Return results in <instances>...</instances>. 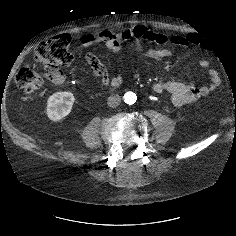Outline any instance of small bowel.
I'll return each instance as SVG.
<instances>
[{"label":"small bowel","mask_w":236,"mask_h":236,"mask_svg":"<svg viewBox=\"0 0 236 236\" xmlns=\"http://www.w3.org/2000/svg\"><path fill=\"white\" fill-rule=\"evenodd\" d=\"M130 39L157 44L159 48L148 50L147 52L149 57L156 60H162L172 54V50L168 46L188 47L202 43L201 36L196 33L187 35H167L157 33L145 26H137L134 28L124 27L117 32L103 30L98 35L86 33L79 38V43L82 46L100 43L105 45L107 49L112 52H119L121 50V43ZM86 61L93 73L101 78L104 83L111 82L114 85H118L121 82L122 78L120 75H116L112 79L109 78L105 66L94 54L88 53L86 55ZM209 65V62L205 59L199 61V66L201 68H208ZM209 78L210 82L207 85L187 84L178 81H159L153 83L151 89L157 93L166 92L171 94L172 103L175 106L180 107L195 102L215 91L221 82L220 75L216 70H210ZM63 81L64 78L61 74L52 80L56 85L61 84Z\"/></svg>","instance_id":"obj_1"}]
</instances>
